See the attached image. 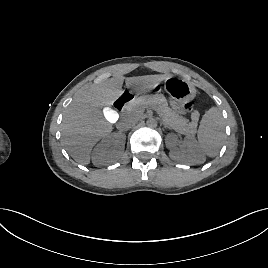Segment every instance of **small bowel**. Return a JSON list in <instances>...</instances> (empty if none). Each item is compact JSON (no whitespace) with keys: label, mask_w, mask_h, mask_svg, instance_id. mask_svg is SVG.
I'll return each mask as SVG.
<instances>
[{"label":"small bowel","mask_w":268,"mask_h":268,"mask_svg":"<svg viewBox=\"0 0 268 268\" xmlns=\"http://www.w3.org/2000/svg\"><path fill=\"white\" fill-rule=\"evenodd\" d=\"M191 106V104H186L185 107L186 108H189Z\"/></svg>","instance_id":"1"}]
</instances>
